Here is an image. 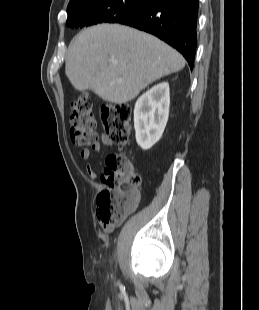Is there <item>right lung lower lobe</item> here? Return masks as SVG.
I'll list each match as a JSON object with an SVG mask.
<instances>
[{
  "mask_svg": "<svg viewBox=\"0 0 259 310\" xmlns=\"http://www.w3.org/2000/svg\"><path fill=\"white\" fill-rule=\"evenodd\" d=\"M198 0H151L117 23L151 33L177 49L191 69L197 46Z\"/></svg>",
  "mask_w": 259,
  "mask_h": 310,
  "instance_id": "98d812e1",
  "label": "right lung lower lobe"
}]
</instances>
